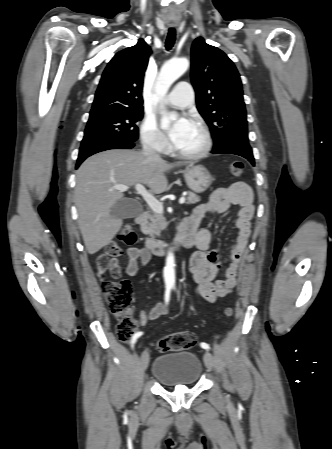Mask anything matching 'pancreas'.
<instances>
[{"label": "pancreas", "mask_w": 332, "mask_h": 449, "mask_svg": "<svg viewBox=\"0 0 332 449\" xmlns=\"http://www.w3.org/2000/svg\"><path fill=\"white\" fill-rule=\"evenodd\" d=\"M199 201V196L192 192L188 193L187 204H195ZM147 218L148 220L141 223V231L150 237L160 235L161 231L168 225L163 214L152 212L148 214Z\"/></svg>", "instance_id": "cf45deb5"}]
</instances>
